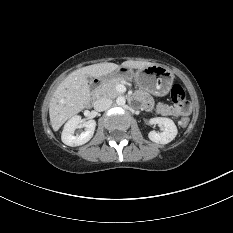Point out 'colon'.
I'll use <instances>...</instances> for the list:
<instances>
[{
  "mask_svg": "<svg viewBox=\"0 0 233 233\" xmlns=\"http://www.w3.org/2000/svg\"><path fill=\"white\" fill-rule=\"evenodd\" d=\"M171 100L176 106H185L186 103V94L184 88L180 84H173L170 90ZM182 127H186L189 124V119L184 116L180 120Z\"/></svg>",
  "mask_w": 233,
  "mask_h": 233,
  "instance_id": "colon-1",
  "label": "colon"
}]
</instances>
